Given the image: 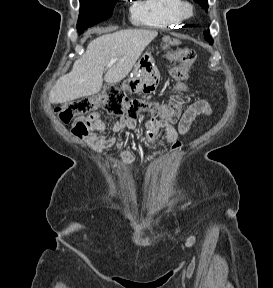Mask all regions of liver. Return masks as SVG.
<instances>
[{
    "mask_svg": "<svg viewBox=\"0 0 273 288\" xmlns=\"http://www.w3.org/2000/svg\"><path fill=\"white\" fill-rule=\"evenodd\" d=\"M92 40L86 52L75 61L72 70L60 77L49 93L52 104H62L101 91L103 81L118 83L124 79L136 61L158 35L155 30L125 29L108 33ZM118 58L107 70L104 68Z\"/></svg>",
    "mask_w": 273,
    "mask_h": 288,
    "instance_id": "1",
    "label": "liver"
}]
</instances>
